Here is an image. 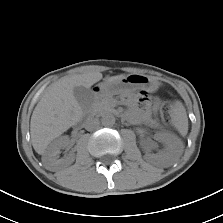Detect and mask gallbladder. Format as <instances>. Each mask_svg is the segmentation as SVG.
Returning a JSON list of instances; mask_svg holds the SVG:
<instances>
[{"instance_id":"1","label":"gallbladder","mask_w":223,"mask_h":223,"mask_svg":"<svg viewBox=\"0 0 223 223\" xmlns=\"http://www.w3.org/2000/svg\"><path fill=\"white\" fill-rule=\"evenodd\" d=\"M73 94L78 104L83 109H86L90 105V102L93 100V92L91 91V89L83 86L75 87L73 89Z\"/></svg>"}]
</instances>
